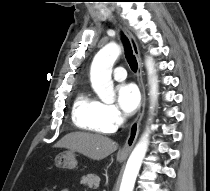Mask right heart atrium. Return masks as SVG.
Listing matches in <instances>:
<instances>
[{"mask_svg": "<svg viewBox=\"0 0 210 191\" xmlns=\"http://www.w3.org/2000/svg\"><path fill=\"white\" fill-rule=\"evenodd\" d=\"M104 117L112 126H117L121 122V114L113 104H103Z\"/></svg>", "mask_w": 210, "mask_h": 191, "instance_id": "1", "label": "right heart atrium"}]
</instances>
